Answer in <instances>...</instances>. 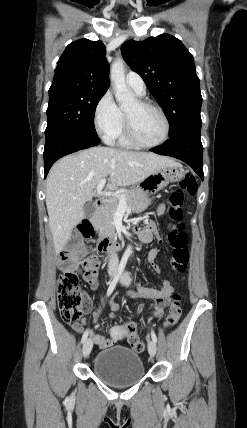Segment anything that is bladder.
Here are the masks:
<instances>
[{
  "instance_id": "31cf9c89",
  "label": "bladder",
  "mask_w": 247,
  "mask_h": 428,
  "mask_svg": "<svg viewBox=\"0 0 247 428\" xmlns=\"http://www.w3.org/2000/svg\"><path fill=\"white\" fill-rule=\"evenodd\" d=\"M93 372L109 385L126 386L140 381L145 369L137 351L125 346H113L97 353Z\"/></svg>"
}]
</instances>
